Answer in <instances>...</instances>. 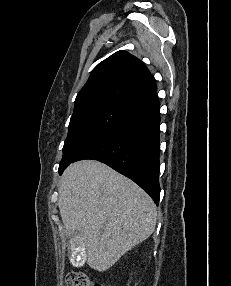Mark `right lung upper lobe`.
I'll return each mask as SVG.
<instances>
[{
  "instance_id": "cb5924a9",
  "label": "right lung upper lobe",
  "mask_w": 231,
  "mask_h": 286,
  "mask_svg": "<svg viewBox=\"0 0 231 286\" xmlns=\"http://www.w3.org/2000/svg\"><path fill=\"white\" fill-rule=\"evenodd\" d=\"M156 89L149 70L139 59L117 51L93 69L75 99L74 111L102 102L134 109Z\"/></svg>"
}]
</instances>
